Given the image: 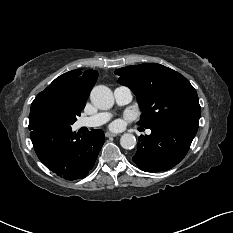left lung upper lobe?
Masks as SVG:
<instances>
[{
	"label": "left lung upper lobe",
	"instance_id": "left-lung-upper-lobe-1",
	"mask_svg": "<svg viewBox=\"0 0 233 233\" xmlns=\"http://www.w3.org/2000/svg\"><path fill=\"white\" fill-rule=\"evenodd\" d=\"M118 82L137 96L142 115L139 126L189 124L198 127L201 108L198 95L180 73L156 63L127 66L115 72Z\"/></svg>",
	"mask_w": 233,
	"mask_h": 233
}]
</instances>
